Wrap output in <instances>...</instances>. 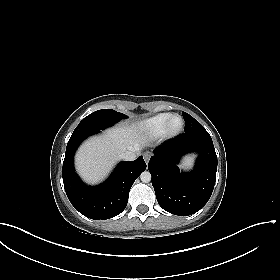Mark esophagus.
Instances as JSON below:
<instances>
[{"instance_id": "34e87169", "label": "esophagus", "mask_w": 280, "mask_h": 280, "mask_svg": "<svg viewBox=\"0 0 280 280\" xmlns=\"http://www.w3.org/2000/svg\"><path fill=\"white\" fill-rule=\"evenodd\" d=\"M151 154L149 152L144 153V160L146 163L149 162Z\"/></svg>"}]
</instances>
